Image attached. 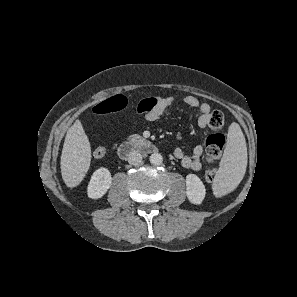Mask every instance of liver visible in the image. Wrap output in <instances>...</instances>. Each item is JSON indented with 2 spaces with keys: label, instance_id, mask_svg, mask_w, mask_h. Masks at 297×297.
<instances>
[{
  "label": "liver",
  "instance_id": "obj_1",
  "mask_svg": "<svg viewBox=\"0 0 297 297\" xmlns=\"http://www.w3.org/2000/svg\"><path fill=\"white\" fill-rule=\"evenodd\" d=\"M91 162V147L79 120L68 129L61 154V175L68 187H76L85 177Z\"/></svg>",
  "mask_w": 297,
  "mask_h": 297
}]
</instances>
